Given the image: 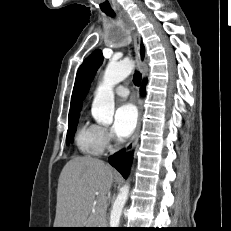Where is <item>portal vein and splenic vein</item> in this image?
<instances>
[{
  "label": "portal vein and splenic vein",
  "mask_w": 231,
  "mask_h": 231,
  "mask_svg": "<svg viewBox=\"0 0 231 231\" xmlns=\"http://www.w3.org/2000/svg\"><path fill=\"white\" fill-rule=\"evenodd\" d=\"M106 201V198H99L98 199V204L101 205L102 203H104Z\"/></svg>",
  "instance_id": "portal-vein-and-splenic-vein-1"
}]
</instances>
